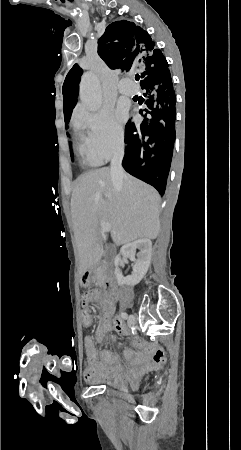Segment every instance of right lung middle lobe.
I'll list each match as a JSON object with an SVG mask.
<instances>
[{
  "label": "right lung middle lobe",
  "instance_id": "right-lung-middle-lobe-1",
  "mask_svg": "<svg viewBox=\"0 0 241 450\" xmlns=\"http://www.w3.org/2000/svg\"><path fill=\"white\" fill-rule=\"evenodd\" d=\"M80 76H81V74H78V75L69 74L66 76V79L64 81L62 93H63V101H64L63 111H64L65 120L67 119L68 116H70V114L72 112V108H74V106L76 105L78 91H79L78 84L80 82ZM67 123H68V120H67ZM65 124H66V121H65ZM66 128H68V127L66 126ZM71 156H72V151H71Z\"/></svg>",
  "mask_w": 241,
  "mask_h": 450
}]
</instances>
